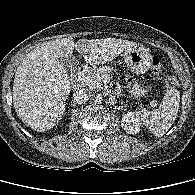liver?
<instances>
[{
  "label": "liver",
  "instance_id": "6515ba94",
  "mask_svg": "<svg viewBox=\"0 0 195 195\" xmlns=\"http://www.w3.org/2000/svg\"><path fill=\"white\" fill-rule=\"evenodd\" d=\"M137 45L133 41L105 38H73L49 41L34 48L22 60L13 81V105L17 116L33 130L52 129L65 112L71 89L68 72L59 59L73 54L74 48L92 66L114 60Z\"/></svg>",
  "mask_w": 195,
  "mask_h": 195
}]
</instances>
